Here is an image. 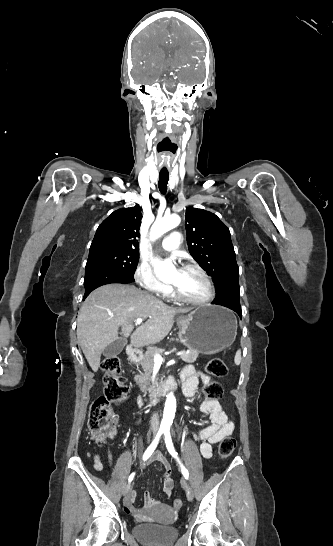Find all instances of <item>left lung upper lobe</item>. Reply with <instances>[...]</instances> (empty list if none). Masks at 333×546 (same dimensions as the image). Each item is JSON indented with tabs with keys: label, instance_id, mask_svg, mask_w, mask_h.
<instances>
[{
	"label": "left lung upper lobe",
	"instance_id": "left-lung-upper-lobe-1",
	"mask_svg": "<svg viewBox=\"0 0 333 546\" xmlns=\"http://www.w3.org/2000/svg\"><path fill=\"white\" fill-rule=\"evenodd\" d=\"M185 221L189 252L212 277L217 296L239 284V268L226 225L215 214L193 207L186 210Z\"/></svg>",
	"mask_w": 333,
	"mask_h": 546
}]
</instances>
